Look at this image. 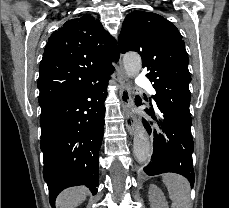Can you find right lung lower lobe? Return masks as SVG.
I'll return each mask as SVG.
<instances>
[{
    "instance_id": "right-lung-lower-lobe-1",
    "label": "right lung lower lobe",
    "mask_w": 229,
    "mask_h": 208,
    "mask_svg": "<svg viewBox=\"0 0 229 208\" xmlns=\"http://www.w3.org/2000/svg\"><path fill=\"white\" fill-rule=\"evenodd\" d=\"M109 78L110 73L41 113L43 176L52 208L57 195L67 187L86 185L97 193Z\"/></svg>"
}]
</instances>
